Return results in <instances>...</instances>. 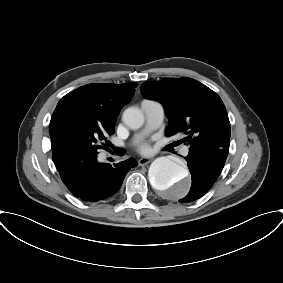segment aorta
Wrapping results in <instances>:
<instances>
[{
    "instance_id": "aorta-1",
    "label": "aorta",
    "mask_w": 283,
    "mask_h": 283,
    "mask_svg": "<svg viewBox=\"0 0 283 283\" xmlns=\"http://www.w3.org/2000/svg\"><path fill=\"white\" fill-rule=\"evenodd\" d=\"M123 122L131 129H138L144 123V115L138 108L129 107L122 115ZM149 181L158 191H170L173 198L184 197L188 190L190 179L186 168L170 157L155 159L148 171Z\"/></svg>"
}]
</instances>
